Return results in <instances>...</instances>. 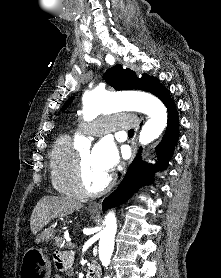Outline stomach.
Returning <instances> with one entry per match:
<instances>
[{
	"instance_id": "obj_1",
	"label": "stomach",
	"mask_w": 221,
	"mask_h": 278,
	"mask_svg": "<svg viewBox=\"0 0 221 278\" xmlns=\"http://www.w3.org/2000/svg\"><path fill=\"white\" fill-rule=\"evenodd\" d=\"M88 214L93 216L96 211L88 210ZM55 234V226L48 227L42 230L38 235L36 241L47 242L52 239ZM19 275L21 278H50L53 268L50 267V262L45 254L41 251H26L25 261L20 265Z\"/></svg>"
}]
</instances>
